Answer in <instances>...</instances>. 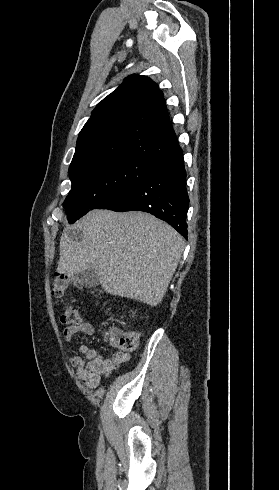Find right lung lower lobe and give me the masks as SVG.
<instances>
[{"mask_svg":"<svg viewBox=\"0 0 279 490\" xmlns=\"http://www.w3.org/2000/svg\"><path fill=\"white\" fill-rule=\"evenodd\" d=\"M189 197L180 147L154 162L141 179L106 197L96 209L144 211L166 221L187 239Z\"/></svg>","mask_w":279,"mask_h":490,"instance_id":"1","label":"right lung lower lobe"}]
</instances>
